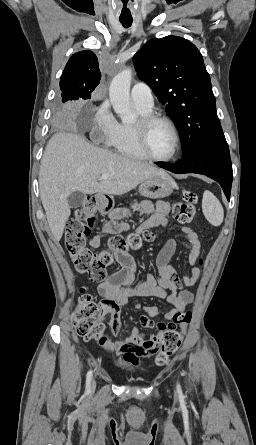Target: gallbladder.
Returning a JSON list of instances; mask_svg holds the SVG:
<instances>
[{
    "instance_id": "gallbladder-1",
    "label": "gallbladder",
    "mask_w": 256,
    "mask_h": 445,
    "mask_svg": "<svg viewBox=\"0 0 256 445\" xmlns=\"http://www.w3.org/2000/svg\"><path fill=\"white\" fill-rule=\"evenodd\" d=\"M84 201H85V194L80 191L72 192L67 199L70 208H77L81 206L84 203Z\"/></svg>"
}]
</instances>
